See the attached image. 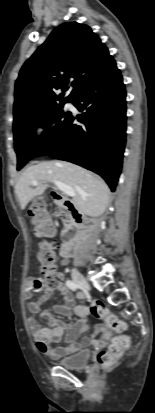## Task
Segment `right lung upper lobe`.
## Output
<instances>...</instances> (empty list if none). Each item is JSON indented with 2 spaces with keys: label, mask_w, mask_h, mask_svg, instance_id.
<instances>
[{
  "label": "right lung upper lobe",
  "mask_w": 155,
  "mask_h": 413,
  "mask_svg": "<svg viewBox=\"0 0 155 413\" xmlns=\"http://www.w3.org/2000/svg\"><path fill=\"white\" fill-rule=\"evenodd\" d=\"M116 67L107 47L91 28L66 22L52 31L44 44L24 63L15 84L14 123L72 102L87 85ZM70 95H56L66 85Z\"/></svg>",
  "instance_id": "obj_1"
}]
</instances>
